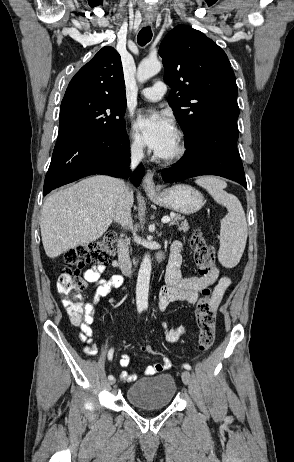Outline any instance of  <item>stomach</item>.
Here are the masks:
<instances>
[{
  "instance_id": "0dacf381",
  "label": "stomach",
  "mask_w": 294,
  "mask_h": 462,
  "mask_svg": "<svg viewBox=\"0 0 294 462\" xmlns=\"http://www.w3.org/2000/svg\"><path fill=\"white\" fill-rule=\"evenodd\" d=\"M148 197L161 207L189 215L199 211L204 205L203 195L193 187L178 184L160 193L147 192Z\"/></svg>"
}]
</instances>
